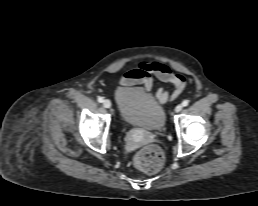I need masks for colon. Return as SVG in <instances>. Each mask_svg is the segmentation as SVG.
Here are the masks:
<instances>
[{
	"mask_svg": "<svg viewBox=\"0 0 258 206\" xmlns=\"http://www.w3.org/2000/svg\"><path fill=\"white\" fill-rule=\"evenodd\" d=\"M133 163L142 171L154 173L163 166L164 155L158 146L148 145L135 154Z\"/></svg>",
	"mask_w": 258,
	"mask_h": 206,
	"instance_id": "colon-1",
	"label": "colon"
}]
</instances>
